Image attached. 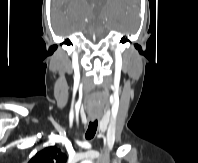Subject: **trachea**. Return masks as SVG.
<instances>
[{
    "mask_svg": "<svg viewBox=\"0 0 198 163\" xmlns=\"http://www.w3.org/2000/svg\"><path fill=\"white\" fill-rule=\"evenodd\" d=\"M98 121L94 120L93 122L89 123L88 129L85 134V138L90 140L95 136V133L97 131Z\"/></svg>",
    "mask_w": 198,
    "mask_h": 163,
    "instance_id": "obj_1",
    "label": "trachea"
}]
</instances>
